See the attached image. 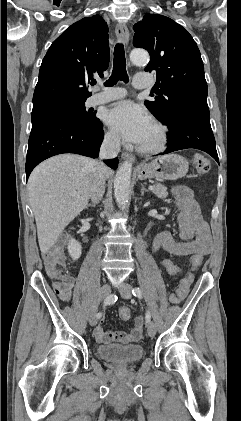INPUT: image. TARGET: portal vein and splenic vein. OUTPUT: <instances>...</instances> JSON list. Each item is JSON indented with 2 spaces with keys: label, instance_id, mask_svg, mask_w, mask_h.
I'll return each mask as SVG.
<instances>
[{
  "label": "portal vein and splenic vein",
  "instance_id": "1",
  "mask_svg": "<svg viewBox=\"0 0 241 421\" xmlns=\"http://www.w3.org/2000/svg\"><path fill=\"white\" fill-rule=\"evenodd\" d=\"M149 190H154V187L153 186H149Z\"/></svg>",
  "mask_w": 241,
  "mask_h": 421
}]
</instances>
